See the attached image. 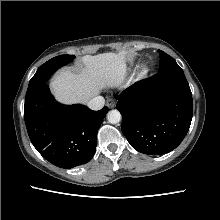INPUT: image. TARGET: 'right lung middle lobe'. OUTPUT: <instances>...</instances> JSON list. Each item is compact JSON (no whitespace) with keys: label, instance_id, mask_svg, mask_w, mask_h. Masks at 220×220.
<instances>
[{"label":"right lung middle lobe","instance_id":"dd1d6c3e","mask_svg":"<svg viewBox=\"0 0 220 220\" xmlns=\"http://www.w3.org/2000/svg\"><path fill=\"white\" fill-rule=\"evenodd\" d=\"M74 55H60L41 65L30 80L26 97L32 95L40 87L46 84L50 76L60 67L72 62Z\"/></svg>","mask_w":220,"mask_h":220}]
</instances>
